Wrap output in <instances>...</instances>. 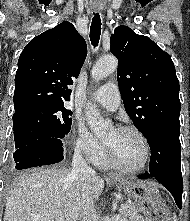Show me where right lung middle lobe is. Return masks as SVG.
I'll list each match as a JSON object with an SVG mask.
<instances>
[{"label":"right lung middle lobe","instance_id":"1","mask_svg":"<svg viewBox=\"0 0 190 221\" xmlns=\"http://www.w3.org/2000/svg\"><path fill=\"white\" fill-rule=\"evenodd\" d=\"M72 112L64 105H37L14 113L15 148L48 137L62 139L71 128Z\"/></svg>","mask_w":190,"mask_h":221}]
</instances>
